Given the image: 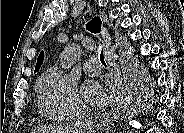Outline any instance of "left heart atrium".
Returning a JSON list of instances; mask_svg holds the SVG:
<instances>
[{"mask_svg": "<svg viewBox=\"0 0 184 133\" xmlns=\"http://www.w3.org/2000/svg\"><path fill=\"white\" fill-rule=\"evenodd\" d=\"M83 98L91 104H101L104 100V93L100 85L94 81H86L81 87Z\"/></svg>", "mask_w": 184, "mask_h": 133, "instance_id": "1", "label": "left heart atrium"}]
</instances>
